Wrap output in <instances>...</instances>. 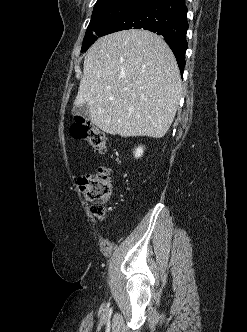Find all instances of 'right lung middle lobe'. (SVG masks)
Returning <instances> with one entry per match:
<instances>
[{"label":"right lung middle lobe","instance_id":"1","mask_svg":"<svg viewBox=\"0 0 247 332\" xmlns=\"http://www.w3.org/2000/svg\"><path fill=\"white\" fill-rule=\"evenodd\" d=\"M147 0H97L85 33L81 52H85L114 21Z\"/></svg>","mask_w":247,"mask_h":332}]
</instances>
